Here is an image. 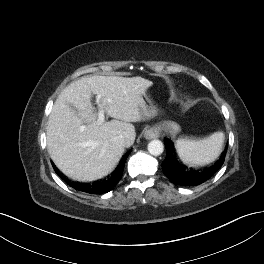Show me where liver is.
<instances>
[{
  "label": "liver",
  "instance_id": "1",
  "mask_svg": "<svg viewBox=\"0 0 264 264\" xmlns=\"http://www.w3.org/2000/svg\"><path fill=\"white\" fill-rule=\"evenodd\" d=\"M153 83L142 77L84 76L68 85L55 101L47 125V148L55 165L67 176L92 181L111 172L130 147L133 122L154 116L143 95ZM112 118L99 123L91 95ZM84 126V128H82ZM123 136L127 144L114 141Z\"/></svg>",
  "mask_w": 264,
  "mask_h": 264
}]
</instances>
